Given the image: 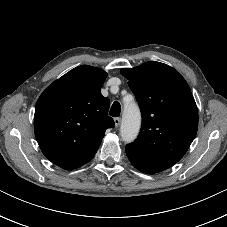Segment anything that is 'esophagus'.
I'll use <instances>...</instances> for the list:
<instances>
[{"label": "esophagus", "mask_w": 227, "mask_h": 227, "mask_svg": "<svg viewBox=\"0 0 227 227\" xmlns=\"http://www.w3.org/2000/svg\"><path fill=\"white\" fill-rule=\"evenodd\" d=\"M114 123L116 127H119L121 123V118L120 117L114 118Z\"/></svg>", "instance_id": "esophagus-1"}]
</instances>
